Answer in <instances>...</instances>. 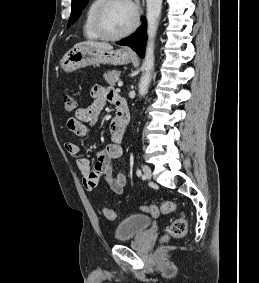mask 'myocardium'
Instances as JSON below:
<instances>
[{"label":"myocardium","mask_w":259,"mask_h":283,"mask_svg":"<svg viewBox=\"0 0 259 283\" xmlns=\"http://www.w3.org/2000/svg\"><path fill=\"white\" fill-rule=\"evenodd\" d=\"M113 1L114 0H101L94 12V17H93V27L95 32L100 38L109 41L119 40L130 35L137 28L139 24V13L137 7L132 2H130V0H127L132 5L134 11V18L131 25L125 31L119 34L112 35L105 32L102 26V14L105 8L107 7V5Z\"/></svg>","instance_id":"myocardium-1"}]
</instances>
